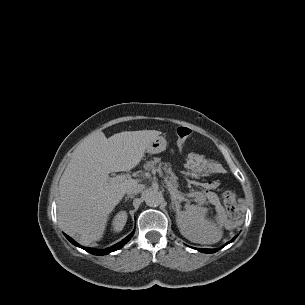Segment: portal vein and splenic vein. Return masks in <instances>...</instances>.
<instances>
[{"label":"portal vein and splenic vein","instance_id":"portal-vein-and-splenic-vein-1","mask_svg":"<svg viewBox=\"0 0 305 305\" xmlns=\"http://www.w3.org/2000/svg\"><path fill=\"white\" fill-rule=\"evenodd\" d=\"M158 173H159L160 176H163L161 170H158ZM126 179H127V176H125V175H118V176H116V177H114V178H109V181H110V182H121V181H124V180H126ZM164 181H165V183L171 188V185H170V183L168 182V180L165 179ZM173 194H174V196H176L179 200H184V197L181 196V195H179V194H177L176 192H173Z\"/></svg>","mask_w":305,"mask_h":305}]
</instances>
